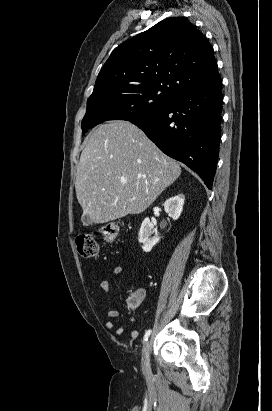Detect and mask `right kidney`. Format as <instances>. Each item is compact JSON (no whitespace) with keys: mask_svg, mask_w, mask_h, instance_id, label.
Listing matches in <instances>:
<instances>
[{"mask_svg":"<svg viewBox=\"0 0 272 411\" xmlns=\"http://www.w3.org/2000/svg\"><path fill=\"white\" fill-rule=\"evenodd\" d=\"M185 197L183 194L171 197L164 203L165 212L174 220H177L183 210ZM153 224L149 218H145L142 222L139 231V242L142 244V249L145 252H150L154 245L159 241L157 237H151Z\"/></svg>","mask_w":272,"mask_h":411,"instance_id":"ca27d5eb","label":"right kidney"}]
</instances>
